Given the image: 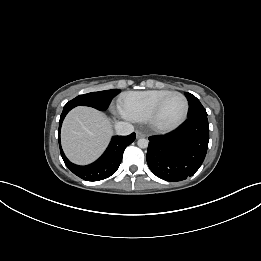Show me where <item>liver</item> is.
<instances>
[{"mask_svg":"<svg viewBox=\"0 0 261 261\" xmlns=\"http://www.w3.org/2000/svg\"><path fill=\"white\" fill-rule=\"evenodd\" d=\"M111 134V123L105 114L79 106L71 110L63 122L62 147L72 162L89 164L104 151Z\"/></svg>","mask_w":261,"mask_h":261,"instance_id":"obj_1","label":"liver"}]
</instances>
